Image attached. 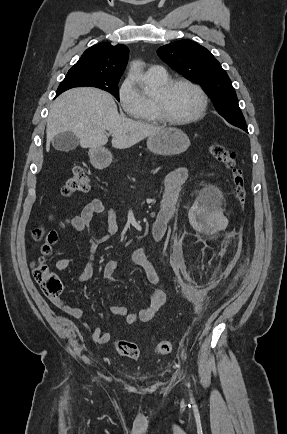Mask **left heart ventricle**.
Here are the masks:
<instances>
[{
  "label": "left heart ventricle",
  "mask_w": 287,
  "mask_h": 434,
  "mask_svg": "<svg viewBox=\"0 0 287 434\" xmlns=\"http://www.w3.org/2000/svg\"><path fill=\"white\" fill-rule=\"evenodd\" d=\"M160 96L157 91L155 97ZM167 113L175 119H184L194 115L200 105L198 94L190 87L179 85L163 97Z\"/></svg>",
  "instance_id": "1"
}]
</instances>
